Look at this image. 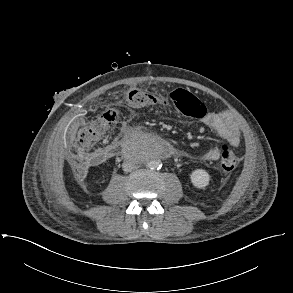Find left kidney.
<instances>
[{"label": "left kidney", "instance_id": "1", "mask_svg": "<svg viewBox=\"0 0 293 293\" xmlns=\"http://www.w3.org/2000/svg\"><path fill=\"white\" fill-rule=\"evenodd\" d=\"M192 184L200 189L209 185L210 175L204 169H196L190 174Z\"/></svg>", "mask_w": 293, "mask_h": 293}]
</instances>
